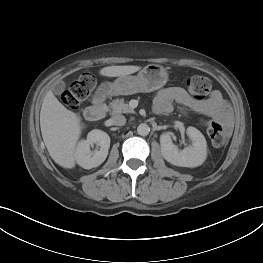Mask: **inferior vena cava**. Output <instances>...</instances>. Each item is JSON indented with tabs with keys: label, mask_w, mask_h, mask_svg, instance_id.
<instances>
[{
	"label": "inferior vena cava",
	"mask_w": 263,
	"mask_h": 263,
	"mask_svg": "<svg viewBox=\"0 0 263 263\" xmlns=\"http://www.w3.org/2000/svg\"><path fill=\"white\" fill-rule=\"evenodd\" d=\"M111 121L113 125L123 126L126 123V118L121 114H117L111 118Z\"/></svg>",
	"instance_id": "1"
}]
</instances>
